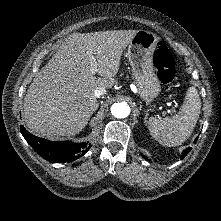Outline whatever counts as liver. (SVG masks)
Wrapping results in <instances>:
<instances>
[{
  "label": "liver",
  "instance_id": "obj_1",
  "mask_svg": "<svg viewBox=\"0 0 221 221\" xmlns=\"http://www.w3.org/2000/svg\"><path fill=\"white\" fill-rule=\"evenodd\" d=\"M137 30L72 33L35 75L24 98L27 127L46 138L82 131L99 103L97 87L112 88L121 56ZM98 63L96 78L90 71V54Z\"/></svg>",
  "mask_w": 221,
  "mask_h": 221
}]
</instances>
